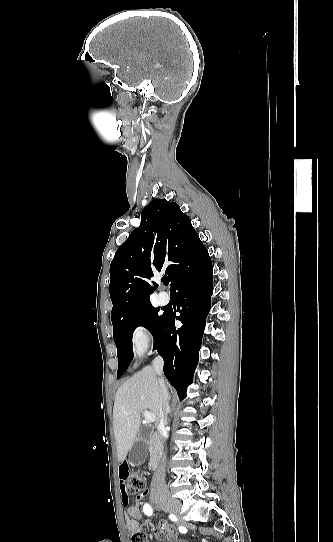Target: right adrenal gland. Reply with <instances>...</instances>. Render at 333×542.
<instances>
[{"label": "right adrenal gland", "mask_w": 333, "mask_h": 542, "mask_svg": "<svg viewBox=\"0 0 333 542\" xmlns=\"http://www.w3.org/2000/svg\"><path fill=\"white\" fill-rule=\"evenodd\" d=\"M168 414H170V404L167 402L166 404V420L168 422Z\"/></svg>", "instance_id": "right-adrenal-gland-1"}]
</instances>
